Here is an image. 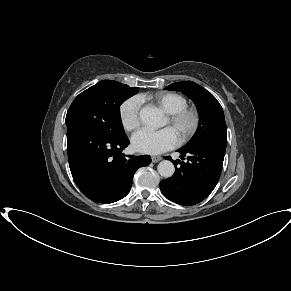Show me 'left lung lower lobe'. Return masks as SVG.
<instances>
[{
  "label": "left lung lower lobe",
  "instance_id": "obj_1",
  "mask_svg": "<svg viewBox=\"0 0 291 291\" xmlns=\"http://www.w3.org/2000/svg\"><path fill=\"white\" fill-rule=\"evenodd\" d=\"M225 150L223 143H200L179 149L181 158L189 155L188 161L173 160L175 173L160 182L164 196L180 205H195L204 200L219 180Z\"/></svg>",
  "mask_w": 291,
  "mask_h": 291
}]
</instances>
